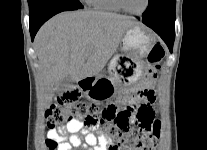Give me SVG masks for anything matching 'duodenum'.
<instances>
[{
    "label": "duodenum",
    "instance_id": "1",
    "mask_svg": "<svg viewBox=\"0 0 207 150\" xmlns=\"http://www.w3.org/2000/svg\"><path fill=\"white\" fill-rule=\"evenodd\" d=\"M93 82V79L91 77H85L81 80L82 85L84 86H90Z\"/></svg>",
    "mask_w": 207,
    "mask_h": 150
}]
</instances>
